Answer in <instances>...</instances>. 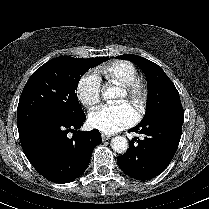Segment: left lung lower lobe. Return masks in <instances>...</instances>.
<instances>
[{"instance_id":"left-lung-lower-lobe-1","label":"left lung lower lobe","mask_w":209,"mask_h":209,"mask_svg":"<svg viewBox=\"0 0 209 209\" xmlns=\"http://www.w3.org/2000/svg\"><path fill=\"white\" fill-rule=\"evenodd\" d=\"M184 114H164L139 123L130 131L144 136L129 142L128 151L117 157L120 169L137 180H149L169 165L179 145Z\"/></svg>"}]
</instances>
